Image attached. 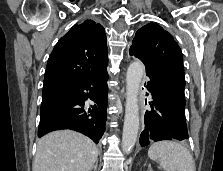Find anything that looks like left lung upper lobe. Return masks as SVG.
<instances>
[{
	"label": "left lung upper lobe",
	"instance_id": "1",
	"mask_svg": "<svg viewBox=\"0 0 223 171\" xmlns=\"http://www.w3.org/2000/svg\"><path fill=\"white\" fill-rule=\"evenodd\" d=\"M130 51L148 66L168 75L185 87L183 56L172 35L157 23L140 28Z\"/></svg>",
	"mask_w": 223,
	"mask_h": 171
}]
</instances>
